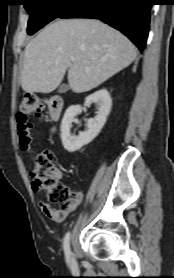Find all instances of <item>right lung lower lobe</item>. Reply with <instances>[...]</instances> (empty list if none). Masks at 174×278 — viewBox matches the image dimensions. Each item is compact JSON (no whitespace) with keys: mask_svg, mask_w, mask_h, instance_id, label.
<instances>
[{"mask_svg":"<svg viewBox=\"0 0 174 278\" xmlns=\"http://www.w3.org/2000/svg\"><path fill=\"white\" fill-rule=\"evenodd\" d=\"M152 0H78L58 18L100 19L145 48Z\"/></svg>","mask_w":174,"mask_h":278,"instance_id":"obj_1","label":"right lung lower lobe"}]
</instances>
